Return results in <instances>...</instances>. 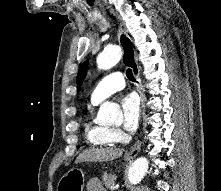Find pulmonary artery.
<instances>
[{"label":"pulmonary artery","mask_w":221,"mask_h":191,"mask_svg":"<svg viewBox=\"0 0 221 191\" xmlns=\"http://www.w3.org/2000/svg\"><path fill=\"white\" fill-rule=\"evenodd\" d=\"M125 87L124 76L120 72H114L104 77L94 88L91 94V102L98 104L112 93Z\"/></svg>","instance_id":"e3ab8cb5"}]
</instances>
